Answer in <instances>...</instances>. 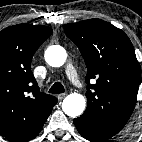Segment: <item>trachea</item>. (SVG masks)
Instances as JSON below:
<instances>
[{"label":"trachea","instance_id":"obj_1","mask_svg":"<svg viewBox=\"0 0 142 142\" xmlns=\"http://www.w3.org/2000/svg\"><path fill=\"white\" fill-rule=\"evenodd\" d=\"M64 91H65V89H64L63 85L60 82H56L50 88L49 93L60 94V93H64Z\"/></svg>","mask_w":142,"mask_h":142}]
</instances>
